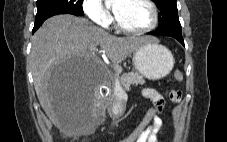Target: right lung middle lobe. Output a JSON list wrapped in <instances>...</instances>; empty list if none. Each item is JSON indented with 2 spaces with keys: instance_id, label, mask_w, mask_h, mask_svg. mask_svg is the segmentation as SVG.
<instances>
[{
  "instance_id": "dd1d6c3e",
  "label": "right lung middle lobe",
  "mask_w": 227,
  "mask_h": 142,
  "mask_svg": "<svg viewBox=\"0 0 227 142\" xmlns=\"http://www.w3.org/2000/svg\"><path fill=\"white\" fill-rule=\"evenodd\" d=\"M83 0H37L36 18L46 17L55 14L83 15Z\"/></svg>"
}]
</instances>
